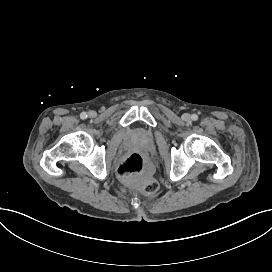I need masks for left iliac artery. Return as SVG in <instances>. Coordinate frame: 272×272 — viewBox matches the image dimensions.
I'll return each instance as SVG.
<instances>
[{"instance_id": "obj_1", "label": "left iliac artery", "mask_w": 272, "mask_h": 272, "mask_svg": "<svg viewBox=\"0 0 272 272\" xmlns=\"http://www.w3.org/2000/svg\"><path fill=\"white\" fill-rule=\"evenodd\" d=\"M191 119L196 121V120H198V116L196 114H192Z\"/></svg>"}]
</instances>
